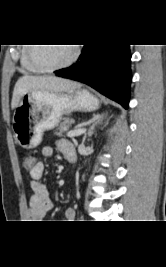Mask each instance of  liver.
Masks as SVG:
<instances>
[{"label": "liver", "mask_w": 166, "mask_h": 267, "mask_svg": "<svg viewBox=\"0 0 166 267\" xmlns=\"http://www.w3.org/2000/svg\"><path fill=\"white\" fill-rule=\"evenodd\" d=\"M80 88V84L55 76H30L25 75L15 84L11 108L15 109L22 97L31 91L67 92Z\"/></svg>", "instance_id": "obj_1"}]
</instances>
